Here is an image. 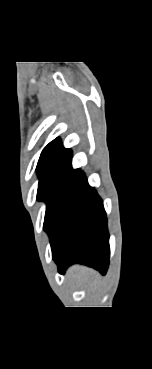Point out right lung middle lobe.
Returning <instances> with one entry per match:
<instances>
[{"label": "right lung middle lobe", "mask_w": 152, "mask_h": 369, "mask_svg": "<svg viewBox=\"0 0 152 369\" xmlns=\"http://www.w3.org/2000/svg\"><path fill=\"white\" fill-rule=\"evenodd\" d=\"M36 171L39 175L37 199L46 202L44 230L49 234L60 203L80 170H73L71 165H55Z\"/></svg>", "instance_id": "dd1d6c3e"}]
</instances>
